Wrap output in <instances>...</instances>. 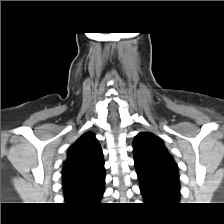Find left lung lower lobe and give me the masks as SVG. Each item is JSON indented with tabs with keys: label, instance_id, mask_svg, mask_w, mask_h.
Returning <instances> with one entry per match:
<instances>
[{
	"label": "left lung lower lobe",
	"instance_id": "left-lung-lower-lobe-1",
	"mask_svg": "<svg viewBox=\"0 0 224 224\" xmlns=\"http://www.w3.org/2000/svg\"><path fill=\"white\" fill-rule=\"evenodd\" d=\"M141 194L147 204H178L180 184L178 179L146 176L137 172Z\"/></svg>",
	"mask_w": 224,
	"mask_h": 224
}]
</instances>
